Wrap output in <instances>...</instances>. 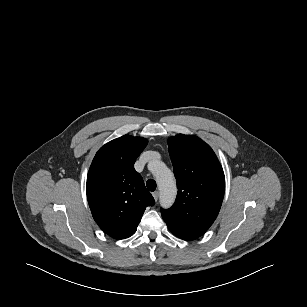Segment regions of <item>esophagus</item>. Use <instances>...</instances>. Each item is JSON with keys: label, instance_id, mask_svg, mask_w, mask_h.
I'll list each match as a JSON object with an SVG mask.
<instances>
[{"label": "esophagus", "instance_id": "obj_1", "mask_svg": "<svg viewBox=\"0 0 307 307\" xmlns=\"http://www.w3.org/2000/svg\"><path fill=\"white\" fill-rule=\"evenodd\" d=\"M152 195H153L155 201H157V200H158V197H159L158 191L153 192Z\"/></svg>", "mask_w": 307, "mask_h": 307}]
</instances>
